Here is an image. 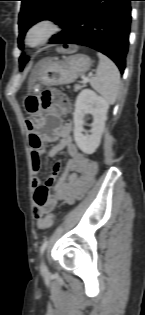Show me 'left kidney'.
I'll use <instances>...</instances> for the list:
<instances>
[{"label": "left kidney", "mask_w": 145, "mask_h": 315, "mask_svg": "<svg viewBox=\"0 0 145 315\" xmlns=\"http://www.w3.org/2000/svg\"><path fill=\"white\" fill-rule=\"evenodd\" d=\"M109 104L90 89L82 90L76 98L74 119V140L79 149L86 154H93L98 148L104 132ZM91 114L93 123L91 134L84 135V116Z\"/></svg>", "instance_id": "obj_1"}]
</instances>
